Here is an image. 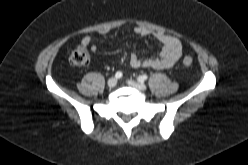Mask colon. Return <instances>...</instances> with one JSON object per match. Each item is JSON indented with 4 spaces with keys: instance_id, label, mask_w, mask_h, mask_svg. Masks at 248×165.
I'll use <instances>...</instances> for the list:
<instances>
[{
    "instance_id": "colon-1",
    "label": "colon",
    "mask_w": 248,
    "mask_h": 165,
    "mask_svg": "<svg viewBox=\"0 0 248 165\" xmlns=\"http://www.w3.org/2000/svg\"><path fill=\"white\" fill-rule=\"evenodd\" d=\"M71 65L75 67H82L89 63V53L86 48V46L79 44L77 45L71 52L69 57ZM193 63V60L191 57L186 56L182 60V64L185 67L191 66Z\"/></svg>"
}]
</instances>
